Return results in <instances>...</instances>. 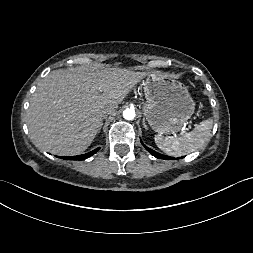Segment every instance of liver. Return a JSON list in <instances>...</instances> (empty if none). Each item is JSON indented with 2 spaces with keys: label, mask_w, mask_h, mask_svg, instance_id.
Returning a JSON list of instances; mask_svg holds the SVG:
<instances>
[{
  "label": "liver",
  "mask_w": 253,
  "mask_h": 253,
  "mask_svg": "<svg viewBox=\"0 0 253 253\" xmlns=\"http://www.w3.org/2000/svg\"><path fill=\"white\" fill-rule=\"evenodd\" d=\"M147 73L122 69H58L38 85L27 125L32 140L56 155H78L95 138L103 109L118 105Z\"/></svg>",
  "instance_id": "6515ba94"
}]
</instances>
